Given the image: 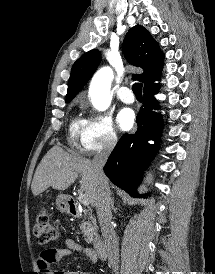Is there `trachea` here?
Masks as SVG:
<instances>
[{
    "label": "trachea",
    "mask_w": 215,
    "mask_h": 274,
    "mask_svg": "<svg viewBox=\"0 0 215 274\" xmlns=\"http://www.w3.org/2000/svg\"><path fill=\"white\" fill-rule=\"evenodd\" d=\"M132 90L136 97L142 98V84L141 83H135L132 87Z\"/></svg>",
    "instance_id": "3493384b"
}]
</instances>
